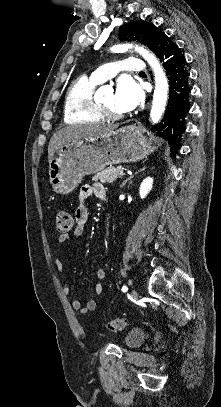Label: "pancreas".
Wrapping results in <instances>:
<instances>
[{"label":"pancreas","instance_id":"cf45deb5","mask_svg":"<svg viewBox=\"0 0 221 407\" xmlns=\"http://www.w3.org/2000/svg\"><path fill=\"white\" fill-rule=\"evenodd\" d=\"M123 171L122 167H108L98 171L92 178L93 181H100L102 183H113L117 178H120L119 172Z\"/></svg>","mask_w":221,"mask_h":407}]
</instances>
